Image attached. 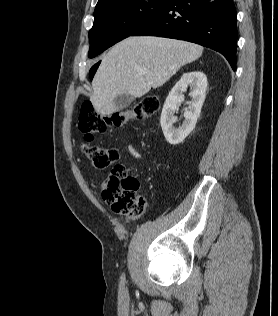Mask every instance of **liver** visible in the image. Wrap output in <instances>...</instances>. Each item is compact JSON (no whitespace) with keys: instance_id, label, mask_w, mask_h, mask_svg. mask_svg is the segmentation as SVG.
<instances>
[{"instance_id":"1","label":"liver","mask_w":278,"mask_h":316,"mask_svg":"<svg viewBox=\"0 0 278 316\" xmlns=\"http://www.w3.org/2000/svg\"><path fill=\"white\" fill-rule=\"evenodd\" d=\"M203 47L154 36L128 37L102 59L92 81L91 102L101 115L118 109L117 95L142 97L166 83L182 66L201 57Z\"/></svg>"}]
</instances>
